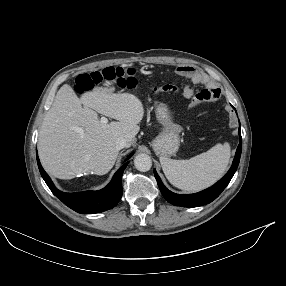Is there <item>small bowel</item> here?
I'll return each mask as SVG.
<instances>
[{
    "label": "small bowel",
    "mask_w": 286,
    "mask_h": 286,
    "mask_svg": "<svg viewBox=\"0 0 286 286\" xmlns=\"http://www.w3.org/2000/svg\"><path fill=\"white\" fill-rule=\"evenodd\" d=\"M177 72L179 75L190 78L193 83L196 84H205L207 85L206 89L201 90L197 94H201L203 96V101L202 102H209V101H214L219 98L220 96V89L212 86L208 80V78L201 72L195 70L191 66H181L177 69ZM196 94V95H197ZM184 95L187 98H192L190 102V107H194L199 103L202 102H196L194 100L196 95H193V90L190 87H186L184 90Z\"/></svg>",
    "instance_id": "small-bowel-1"
}]
</instances>
